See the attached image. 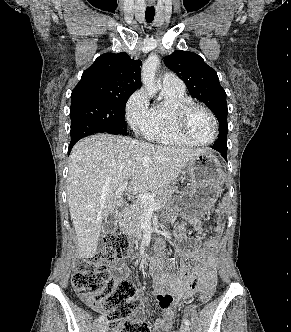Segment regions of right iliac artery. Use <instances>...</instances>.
Segmentation results:
<instances>
[{"mask_svg":"<svg viewBox=\"0 0 291 332\" xmlns=\"http://www.w3.org/2000/svg\"><path fill=\"white\" fill-rule=\"evenodd\" d=\"M104 319H105V317H104V316H100V317H99V319H98V321H99V322H103V321H104Z\"/></svg>","mask_w":291,"mask_h":332,"instance_id":"right-iliac-artery-1","label":"right iliac artery"}]
</instances>
